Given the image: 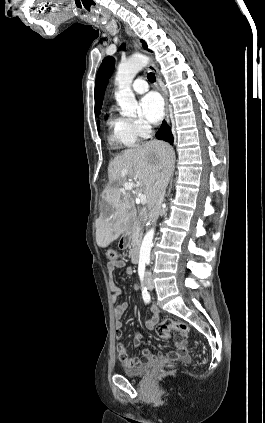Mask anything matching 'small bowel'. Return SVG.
Segmentation results:
<instances>
[{"label": "small bowel", "mask_w": 265, "mask_h": 423, "mask_svg": "<svg viewBox=\"0 0 265 423\" xmlns=\"http://www.w3.org/2000/svg\"><path fill=\"white\" fill-rule=\"evenodd\" d=\"M124 267H126V263L121 259H117L114 262H108L107 264V270L109 274L108 283H109V288L111 290V301L113 303H115L121 295V290L115 284L113 272L116 269H121ZM126 270L128 273L134 272L133 266H128ZM133 287L135 290L139 289V286L137 284H135ZM127 309H128V304L126 302L120 303L114 308V312H113L114 320H115L114 324L116 329V337L118 340H121L122 338V332H121V329L123 327L122 316L127 311ZM150 312H151V315L146 321L145 325H146V328L152 330L156 327V325L159 322L160 312H159V309L154 305L150 306ZM140 341H141V337L140 335H137L134 340V344L139 345ZM117 352L122 364L126 367L134 368V367H140L141 365L144 364L143 360L131 357L128 354L125 345L121 341L117 345ZM183 352H185L183 342L177 341L176 350L172 352L169 355V357H175V358L181 357ZM142 354H143V357L147 361H156L159 358L149 349H144L142 351Z\"/></svg>", "instance_id": "small-bowel-1"}]
</instances>
